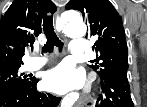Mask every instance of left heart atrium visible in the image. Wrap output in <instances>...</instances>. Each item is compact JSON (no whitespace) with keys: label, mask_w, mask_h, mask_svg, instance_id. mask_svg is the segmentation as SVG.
Wrapping results in <instances>:
<instances>
[{"label":"left heart atrium","mask_w":147,"mask_h":107,"mask_svg":"<svg viewBox=\"0 0 147 107\" xmlns=\"http://www.w3.org/2000/svg\"><path fill=\"white\" fill-rule=\"evenodd\" d=\"M83 83V72L68 63H62L49 70L43 79L44 88L57 94L78 89Z\"/></svg>","instance_id":"left-heart-atrium-1"}]
</instances>
